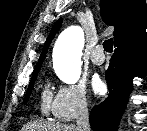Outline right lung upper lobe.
I'll return each mask as SVG.
<instances>
[{
    "label": "right lung upper lobe",
    "mask_w": 147,
    "mask_h": 131,
    "mask_svg": "<svg viewBox=\"0 0 147 131\" xmlns=\"http://www.w3.org/2000/svg\"><path fill=\"white\" fill-rule=\"evenodd\" d=\"M100 7L104 22L115 28L114 44L134 37L147 26V6L144 0H101ZM61 25L62 19H59L52 27L34 72L40 70L48 47Z\"/></svg>",
    "instance_id": "cb5924a9"
}]
</instances>
